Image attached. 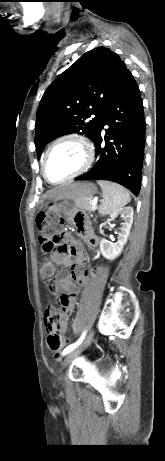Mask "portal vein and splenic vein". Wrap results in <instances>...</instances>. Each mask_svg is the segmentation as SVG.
<instances>
[{
  "mask_svg": "<svg viewBox=\"0 0 165 461\" xmlns=\"http://www.w3.org/2000/svg\"><path fill=\"white\" fill-rule=\"evenodd\" d=\"M97 205V198H95L93 201H92V206L96 207Z\"/></svg>",
  "mask_w": 165,
  "mask_h": 461,
  "instance_id": "18ae733b",
  "label": "portal vein and splenic vein"
}]
</instances>
